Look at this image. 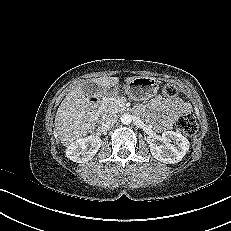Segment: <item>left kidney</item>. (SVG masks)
Masks as SVG:
<instances>
[{"instance_id":"1","label":"left kidney","mask_w":231,"mask_h":231,"mask_svg":"<svg viewBox=\"0 0 231 231\" xmlns=\"http://www.w3.org/2000/svg\"><path fill=\"white\" fill-rule=\"evenodd\" d=\"M164 145H150V151L158 161L168 164L178 163L189 150L188 139L175 131H165L162 133Z\"/></svg>"}]
</instances>
